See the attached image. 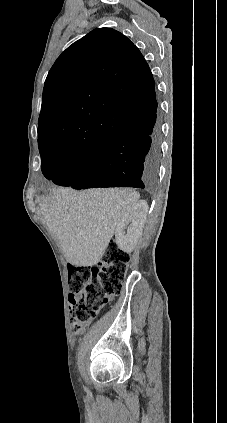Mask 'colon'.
<instances>
[{
    "mask_svg": "<svg viewBox=\"0 0 227 423\" xmlns=\"http://www.w3.org/2000/svg\"><path fill=\"white\" fill-rule=\"evenodd\" d=\"M129 262L130 255L110 243L98 265L70 267L69 305L73 331L85 330L102 307L120 294Z\"/></svg>",
    "mask_w": 227,
    "mask_h": 423,
    "instance_id": "colon-1",
    "label": "colon"
}]
</instances>
